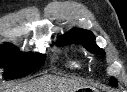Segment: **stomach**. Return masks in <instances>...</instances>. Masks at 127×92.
Listing matches in <instances>:
<instances>
[{"mask_svg":"<svg viewBox=\"0 0 127 92\" xmlns=\"http://www.w3.org/2000/svg\"><path fill=\"white\" fill-rule=\"evenodd\" d=\"M89 89H87L86 87H82V88H80V92H87ZM90 91H91V89H90Z\"/></svg>","mask_w":127,"mask_h":92,"instance_id":"stomach-1","label":"stomach"}]
</instances>
